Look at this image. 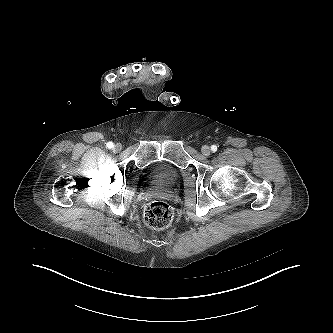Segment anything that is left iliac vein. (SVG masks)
Segmentation results:
<instances>
[{
    "mask_svg": "<svg viewBox=\"0 0 333 333\" xmlns=\"http://www.w3.org/2000/svg\"><path fill=\"white\" fill-rule=\"evenodd\" d=\"M201 152H202V154H203L204 156H209L210 153H211V149H210L209 146L204 145V146L202 147V149H201Z\"/></svg>",
    "mask_w": 333,
    "mask_h": 333,
    "instance_id": "4c4485c4",
    "label": "left iliac vein"
}]
</instances>
